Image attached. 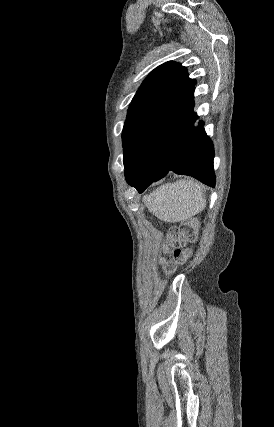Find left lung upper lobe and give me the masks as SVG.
Listing matches in <instances>:
<instances>
[{"instance_id": "1", "label": "left lung upper lobe", "mask_w": 274, "mask_h": 427, "mask_svg": "<svg viewBox=\"0 0 274 427\" xmlns=\"http://www.w3.org/2000/svg\"><path fill=\"white\" fill-rule=\"evenodd\" d=\"M193 81L185 67L166 62L142 83L132 99L122 132L125 174L133 167L149 129Z\"/></svg>"}]
</instances>
